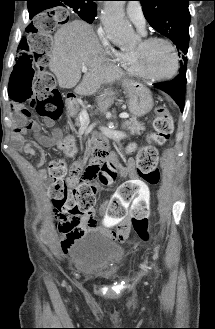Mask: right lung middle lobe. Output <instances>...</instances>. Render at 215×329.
Returning a JSON list of instances; mask_svg holds the SVG:
<instances>
[{
    "instance_id": "right-lung-middle-lobe-1",
    "label": "right lung middle lobe",
    "mask_w": 215,
    "mask_h": 329,
    "mask_svg": "<svg viewBox=\"0 0 215 329\" xmlns=\"http://www.w3.org/2000/svg\"><path fill=\"white\" fill-rule=\"evenodd\" d=\"M63 7L68 11H73L77 13L81 19L88 23H92L95 19L96 13L94 12V10L81 2L66 1Z\"/></svg>"
}]
</instances>
